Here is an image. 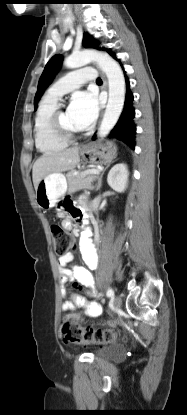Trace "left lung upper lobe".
Listing matches in <instances>:
<instances>
[{"instance_id": "obj_1", "label": "left lung upper lobe", "mask_w": 187, "mask_h": 415, "mask_svg": "<svg viewBox=\"0 0 187 415\" xmlns=\"http://www.w3.org/2000/svg\"><path fill=\"white\" fill-rule=\"evenodd\" d=\"M82 45L85 48H99L98 43L87 33H84ZM62 56L61 55H54L46 64L44 71L39 79L38 89L34 98V106L36 107L37 102L40 100L44 90L49 86L52 82L55 74L61 67L62 63Z\"/></svg>"}]
</instances>
